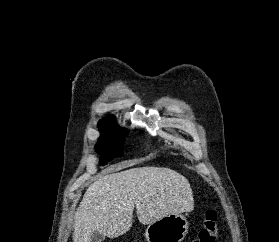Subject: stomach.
Masks as SVG:
<instances>
[{"label": "stomach", "instance_id": "stomach-1", "mask_svg": "<svg viewBox=\"0 0 279 242\" xmlns=\"http://www.w3.org/2000/svg\"><path fill=\"white\" fill-rule=\"evenodd\" d=\"M188 228L187 218L183 214H169L149 224L145 238L147 242H182Z\"/></svg>", "mask_w": 279, "mask_h": 242}]
</instances>
